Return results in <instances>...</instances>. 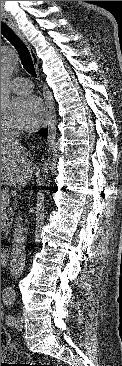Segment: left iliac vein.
Instances as JSON below:
<instances>
[{
  "instance_id": "1",
  "label": "left iliac vein",
  "mask_w": 122,
  "mask_h": 366,
  "mask_svg": "<svg viewBox=\"0 0 122 366\" xmlns=\"http://www.w3.org/2000/svg\"><path fill=\"white\" fill-rule=\"evenodd\" d=\"M15 327L16 329L18 330H22L23 329V324H22V318L20 316H18L16 318V321H15Z\"/></svg>"
}]
</instances>
